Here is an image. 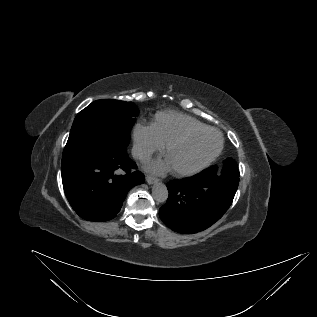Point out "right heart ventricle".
<instances>
[{"mask_svg":"<svg viewBox=\"0 0 317 317\" xmlns=\"http://www.w3.org/2000/svg\"><path fill=\"white\" fill-rule=\"evenodd\" d=\"M203 127L206 126L197 119L176 111L157 112L151 121V128L163 146L186 130Z\"/></svg>","mask_w":317,"mask_h":317,"instance_id":"obj_1","label":"right heart ventricle"}]
</instances>
